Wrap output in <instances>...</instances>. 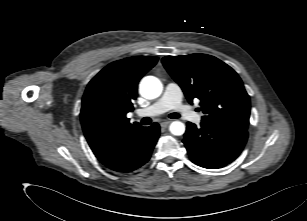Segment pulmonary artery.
<instances>
[{
    "label": "pulmonary artery",
    "instance_id": "1",
    "mask_svg": "<svg viewBox=\"0 0 307 221\" xmlns=\"http://www.w3.org/2000/svg\"><path fill=\"white\" fill-rule=\"evenodd\" d=\"M183 92L181 87L174 83H168L165 87L162 97L151 106L136 111L137 116H156L169 110H175L185 118L199 123L202 119L201 114L191 110L188 106L183 105Z\"/></svg>",
    "mask_w": 307,
    "mask_h": 221
}]
</instances>
